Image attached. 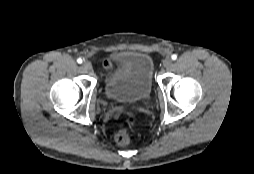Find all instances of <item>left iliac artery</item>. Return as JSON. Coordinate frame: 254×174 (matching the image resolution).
Segmentation results:
<instances>
[{
    "label": "left iliac artery",
    "mask_w": 254,
    "mask_h": 174,
    "mask_svg": "<svg viewBox=\"0 0 254 174\" xmlns=\"http://www.w3.org/2000/svg\"><path fill=\"white\" fill-rule=\"evenodd\" d=\"M171 58H172V60H176V59H177V55H176V54H173V55L171 56Z\"/></svg>",
    "instance_id": "obj_1"
}]
</instances>
